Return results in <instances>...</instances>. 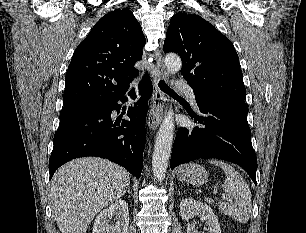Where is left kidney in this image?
<instances>
[{"label": "left kidney", "mask_w": 306, "mask_h": 233, "mask_svg": "<svg viewBox=\"0 0 306 233\" xmlns=\"http://www.w3.org/2000/svg\"><path fill=\"white\" fill-rule=\"evenodd\" d=\"M181 217L185 221H189L196 214L200 216V220L205 221L207 228L204 231L208 233H221L220 224L213 210L203 202L196 201L192 198H185L180 203ZM204 231L202 233H204ZM187 233H200L195 229V224L187 225Z\"/></svg>", "instance_id": "5707ae66"}]
</instances>
